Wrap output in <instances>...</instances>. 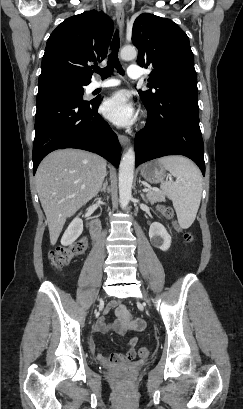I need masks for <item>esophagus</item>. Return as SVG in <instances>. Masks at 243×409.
I'll use <instances>...</instances> for the list:
<instances>
[{
  "mask_svg": "<svg viewBox=\"0 0 243 409\" xmlns=\"http://www.w3.org/2000/svg\"><path fill=\"white\" fill-rule=\"evenodd\" d=\"M115 15H116V19H117V22L120 28V39H123L125 13H124L123 6L121 4H118L116 6ZM118 139L122 146H127L130 142L129 138L125 135H118Z\"/></svg>",
  "mask_w": 243,
  "mask_h": 409,
  "instance_id": "esophagus-1",
  "label": "esophagus"
}]
</instances>
